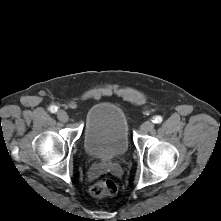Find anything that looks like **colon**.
<instances>
[{"instance_id": "5ec220e1", "label": "colon", "mask_w": 221, "mask_h": 221, "mask_svg": "<svg viewBox=\"0 0 221 221\" xmlns=\"http://www.w3.org/2000/svg\"><path fill=\"white\" fill-rule=\"evenodd\" d=\"M117 189V185L113 180L104 179L90 187V194L94 197H108L116 194Z\"/></svg>"}]
</instances>
